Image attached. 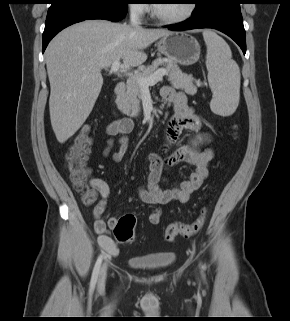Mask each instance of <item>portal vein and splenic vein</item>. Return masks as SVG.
Instances as JSON below:
<instances>
[{
  "mask_svg": "<svg viewBox=\"0 0 290 321\" xmlns=\"http://www.w3.org/2000/svg\"><path fill=\"white\" fill-rule=\"evenodd\" d=\"M111 73H126L125 69L121 67L120 61L115 60L110 68ZM167 75V71L165 69H158L156 70L151 76L149 77H137V82L143 87L147 88L149 85L155 84L156 82L162 80L163 76ZM199 84V83H198Z\"/></svg>",
  "mask_w": 290,
  "mask_h": 321,
  "instance_id": "18ae733b",
  "label": "portal vein and splenic vein"
}]
</instances>
